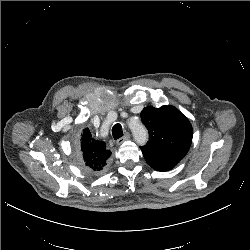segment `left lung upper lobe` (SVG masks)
<instances>
[{"mask_svg": "<svg viewBox=\"0 0 250 250\" xmlns=\"http://www.w3.org/2000/svg\"><path fill=\"white\" fill-rule=\"evenodd\" d=\"M141 119L149 131V141L141 147L146 162L158 171L171 170L190 148L193 130L189 120L173 106H148Z\"/></svg>", "mask_w": 250, "mask_h": 250, "instance_id": "5c2ea615", "label": "left lung upper lobe"}]
</instances>
